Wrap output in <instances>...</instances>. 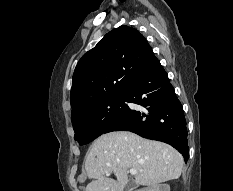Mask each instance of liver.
I'll return each mask as SVG.
<instances>
[{
	"label": "liver",
	"instance_id": "obj_1",
	"mask_svg": "<svg viewBox=\"0 0 233 191\" xmlns=\"http://www.w3.org/2000/svg\"><path fill=\"white\" fill-rule=\"evenodd\" d=\"M184 160L173 147L148 140L128 131H114L97 138L85 158V170L93 179L86 191H123L129 169L138 171L134 182L141 186H155L178 179ZM114 173L117 180L108 178Z\"/></svg>",
	"mask_w": 233,
	"mask_h": 191
}]
</instances>
